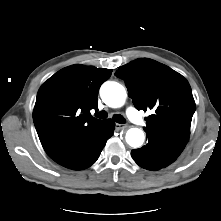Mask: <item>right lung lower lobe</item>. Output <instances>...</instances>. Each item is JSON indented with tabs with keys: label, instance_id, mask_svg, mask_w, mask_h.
Wrapping results in <instances>:
<instances>
[{
	"label": "right lung lower lobe",
	"instance_id": "obj_1",
	"mask_svg": "<svg viewBox=\"0 0 221 221\" xmlns=\"http://www.w3.org/2000/svg\"><path fill=\"white\" fill-rule=\"evenodd\" d=\"M115 123L111 119L97 126L64 154L55 159L58 164L73 170H82L96 162L107 140L113 135Z\"/></svg>",
	"mask_w": 221,
	"mask_h": 221
}]
</instances>
